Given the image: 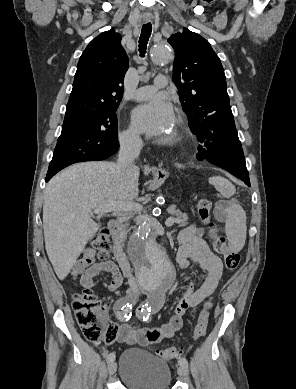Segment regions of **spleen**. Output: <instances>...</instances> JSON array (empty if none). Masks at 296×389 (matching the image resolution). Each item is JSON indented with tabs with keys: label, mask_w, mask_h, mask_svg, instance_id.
<instances>
[{
	"label": "spleen",
	"mask_w": 296,
	"mask_h": 389,
	"mask_svg": "<svg viewBox=\"0 0 296 389\" xmlns=\"http://www.w3.org/2000/svg\"><path fill=\"white\" fill-rule=\"evenodd\" d=\"M209 183L225 198H231L236 191L229 180L220 176L210 177ZM246 231V213L236 201L232 200L226 209L225 223V233L232 252L238 253L242 250L246 240Z\"/></svg>",
	"instance_id": "3e777b00"
}]
</instances>
